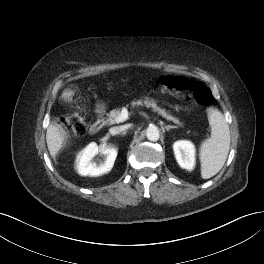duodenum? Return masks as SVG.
Segmentation results:
<instances>
[{
	"instance_id": "410a0bca",
	"label": "duodenum",
	"mask_w": 264,
	"mask_h": 264,
	"mask_svg": "<svg viewBox=\"0 0 264 264\" xmlns=\"http://www.w3.org/2000/svg\"><path fill=\"white\" fill-rule=\"evenodd\" d=\"M104 109L96 108L95 109V121L90 126V133L96 134L104 125Z\"/></svg>"
}]
</instances>
